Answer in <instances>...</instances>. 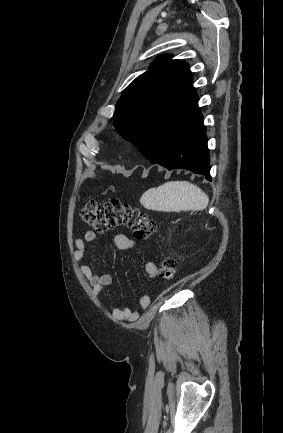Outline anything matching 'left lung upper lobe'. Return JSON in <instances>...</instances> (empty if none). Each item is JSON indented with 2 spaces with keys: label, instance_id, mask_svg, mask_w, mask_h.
Wrapping results in <instances>:
<instances>
[{
  "label": "left lung upper lobe",
  "instance_id": "obj_1",
  "mask_svg": "<svg viewBox=\"0 0 283 433\" xmlns=\"http://www.w3.org/2000/svg\"><path fill=\"white\" fill-rule=\"evenodd\" d=\"M160 56L122 93L113 115L121 136L138 147L156 125H178L201 112L189 65Z\"/></svg>",
  "mask_w": 283,
  "mask_h": 433
}]
</instances>
